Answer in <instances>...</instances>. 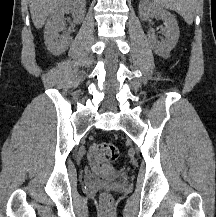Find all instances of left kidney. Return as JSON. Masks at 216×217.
<instances>
[{
    "label": "left kidney",
    "instance_id": "obj_1",
    "mask_svg": "<svg viewBox=\"0 0 216 217\" xmlns=\"http://www.w3.org/2000/svg\"><path fill=\"white\" fill-rule=\"evenodd\" d=\"M139 14L143 21H147L152 16L164 21L165 28L163 33L165 39L159 42L156 39L154 30H150L148 31V41L157 55L167 57L179 39V27L175 17L168 11L153 5L148 0L140 2Z\"/></svg>",
    "mask_w": 216,
    "mask_h": 217
}]
</instances>
